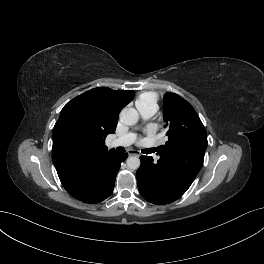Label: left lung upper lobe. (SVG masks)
Segmentation results:
<instances>
[{
    "instance_id": "5c2ea615",
    "label": "left lung upper lobe",
    "mask_w": 264,
    "mask_h": 264,
    "mask_svg": "<svg viewBox=\"0 0 264 264\" xmlns=\"http://www.w3.org/2000/svg\"><path fill=\"white\" fill-rule=\"evenodd\" d=\"M163 114L168 141L159 147L163 153L185 151L187 159L200 149L206 150L207 133L194 108L182 97L166 93L163 100Z\"/></svg>"
}]
</instances>
